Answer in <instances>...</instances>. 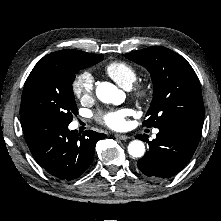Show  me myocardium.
<instances>
[{
    "mask_svg": "<svg viewBox=\"0 0 221 221\" xmlns=\"http://www.w3.org/2000/svg\"><path fill=\"white\" fill-rule=\"evenodd\" d=\"M133 95L138 100L146 101L149 98L150 91L145 85H136L133 88Z\"/></svg>",
    "mask_w": 221,
    "mask_h": 221,
    "instance_id": "obj_1",
    "label": "myocardium"
}]
</instances>
